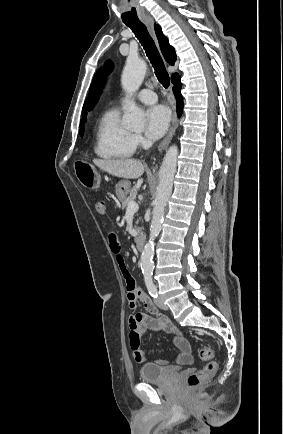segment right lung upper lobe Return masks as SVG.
I'll return each mask as SVG.
<instances>
[{
	"mask_svg": "<svg viewBox=\"0 0 283 434\" xmlns=\"http://www.w3.org/2000/svg\"><path fill=\"white\" fill-rule=\"evenodd\" d=\"M155 32L159 41V45L162 51V54L164 56V58L166 59V61L171 64L174 65L175 61H176V54H175V50L174 48L169 44V41L167 39V37L162 33L161 27L157 24L155 25ZM86 103L87 101H85L83 110H82V116L83 119L81 120V123H84L86 121Z\"/></svg>",
	"mask_w": 283,
	"mask_h": 434,
	"instance_id": "1",
	"label": "right lung upper lobe"
}]
</instances>
